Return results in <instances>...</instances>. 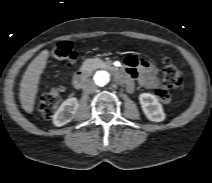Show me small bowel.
<instances>
[{"mask_svg":"<svg viewBox=\"0 0 212 183\" xmlns=\"http://www.w3.org/2000/svg\"><path fill=\"white\" fill-rule=\"evenodd\" d=\"M158 72L159 69L154 63L136 55H130L126 58L118 78L130 92L135 89L136 84L151 90L159 85Z\"/></svg>","mask_w":212,"mask_h":183,"instance_id":"small-bowel-1","label":"small bowel"}]
</instances>
